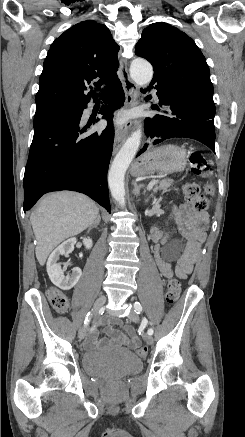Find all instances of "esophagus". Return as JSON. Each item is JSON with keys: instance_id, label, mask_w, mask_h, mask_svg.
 Returning <instances> with one entry per match:
<instances>
[{"instance_id": "esophagus-1", "label": "esophagus", "mask_w": 245, "mask_h": 437, "mask_svg": "<svg viewBox=\"0 0 245 437\" xmlns=\"http://www.w3.org/2000/svg\"><path fill=\"white\" fill-rule=\"evenodd\" d=\"M120 73L122 76L123 87L126 94V107L129 108L134 106L136 103L138 87L130 79L127 70V61L123 58L120 59ZM131 125L132 122L128 121L117 130L113 144V154H116L122 146L123 142L125 141L127 131L131 127Z\"/></svg>"}]
</instances>
